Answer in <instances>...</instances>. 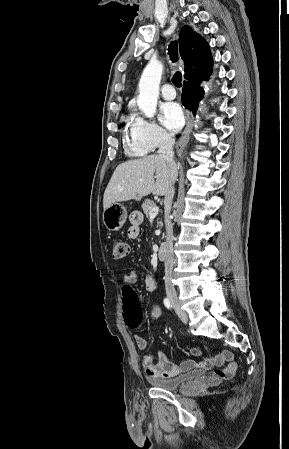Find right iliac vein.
Returning <instances> with one entry per match:
<instances>
[{
  "label": "right iliac vein",
  "instance_id": "1",
  "mask_svg": "<svg viewBox=\"0 0 289 449\" xmlns=\"http://www.w3.org/2000/svg\"><path fill=\"white\" fill-rule=\"evenodd\" d=\"M168 298H169L173 308L175 309L177 315L180 317V319L183 322H187V320H188L187 314L184 311V309L181 307V304H180L176 294L170 292V293H168Z\"/></svg>",
  "mask_w": 289,
  "mask_h": 449
}]
</instances>
